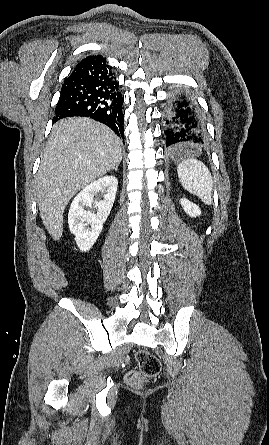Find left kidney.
<instances>
[{"label": "left kidney", "mask_w": 269, "mask_h": 445, "mask_svg": "<svg viewBox=\"0 0 269 445\" xmlns=\"http://www.w3.org/2000/svg\"><path fill=\"white\" fill-rule=\"evenodd\" d=\"M180 204L182 205L184 211L190 216V217H197L201 215V210L200 208L190 202L189 200H187L186 198H182L180 200Z\"/></svg>", "instance_id": "left-kidney-1"}]
</instances>
